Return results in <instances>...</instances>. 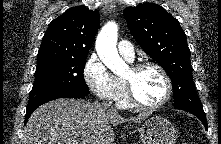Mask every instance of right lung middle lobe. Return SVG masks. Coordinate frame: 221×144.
Here are the masks:
<instances>
[{"label":"right lung middle lobe","instance_id":"1","mask_svg":"<svg viewBox=\"0 0 221 144\" xmlns=\"http://www.w3.org/2000/svg\"><path fill=\"white\" fill-rule=\"evenodd\" d=\"M85 62L86 57L37 56L35 81L27 108L56 92L89 93L83 76Z\"/></svg>","mask_w":221,"mask_h":144}]
</instances>
